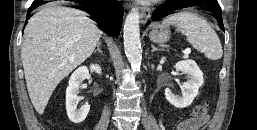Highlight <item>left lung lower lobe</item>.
<instances>
[{
    "label": "left lung lower lobe",
    "mask_w": 257,
    "mask_h": 130,
    "mask_svg": "<svg viewBox=\"0 0 257 130\" xmlns=\"http://www.w3.org/2000/svg\"><path fill=\"white\" fill-rule=\"evenodd\" d=\"M190 6H201L203 10L210 12L224 31L222 12L217 0H167L153 12L151 21H158L165 16L173 14L176 10Z\"/></svg>",
    "instance_id": "0a47b994"
}]
</instances>
